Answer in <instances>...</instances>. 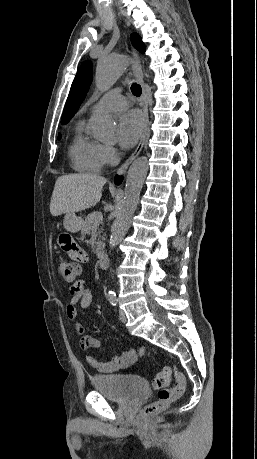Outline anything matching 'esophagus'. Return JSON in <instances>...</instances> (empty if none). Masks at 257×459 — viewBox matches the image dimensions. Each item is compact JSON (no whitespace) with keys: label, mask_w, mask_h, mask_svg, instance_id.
Masks as SVG:
<instances>
[{"label":"esophagus","mask_w":257,"mask_h":459,"mask_svg":"<svg viewBox=\"0 0 257 459\" xmlns=\"http://www.w3.org/2000/svg\"><path fill=\"white\" fill-rule=\"evenodd\" d=\"M131 55L133 57L132 70H133L134 76H135V78L137 79V81L140 83V85L142 87L141 106H142L143 113H144V126H143L142 135H141V138H140V141H139V144H138L137 148L129 156V158L124 162V164L119 168V170H118V174L119 175H123L127 171V169L130 166V164L133 162V160L140 154V152H141V150L143 148V145H144V141H145L146 134H147V131H148V126H149L147 92H146V88H145V83H144V77H143V71H142V67H141L140 58H139L137 52L134 51V50L131 51Z\"/></svg>","instance_id":"esophagus-1"}]
</instances>
